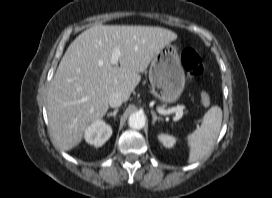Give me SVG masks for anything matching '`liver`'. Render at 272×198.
Returning a JSON list of instances; mask_svg holds the SVG:
<instances>
[{
    "instance_id": "1",
    "label": "liver",
    "mask_w": 272,
    "mask_h": 198,
    "mask_svg": "<svg viewBox=\"0 0 272 198\" xmlns=\"http://www.w3.org/2000/svg\"><path fill=\"white\" fill-rule=\"evenodd\" d=\"M176 39L171 30L152 26L96 25L82 32L66 50L48 90V119L58 146L65 151L77 146L108 111L112 93L126 102L155 54ZM115 49L120 66L111 64Z\"/></svg>"
}]
</instances>
